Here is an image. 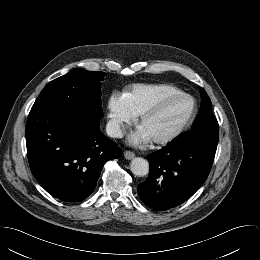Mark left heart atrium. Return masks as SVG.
<instances>
[{
  "label": "left heart atrium",
  "mask_w": 260,
  "mask_h": 260,
  "mask_svg": "<svg viewBox=\"0 0 260 260\" xmlns=\"http://www.w3.org/2000/svg\"><path fill=\"white\" fill-rule=\"evenodd\" d=\"M151 140L150 135L143 129L132 133L129 137V143L134 146L145 144Z\"/></svg>",
  "instance_id": "obj_1"
}]
</instances>
